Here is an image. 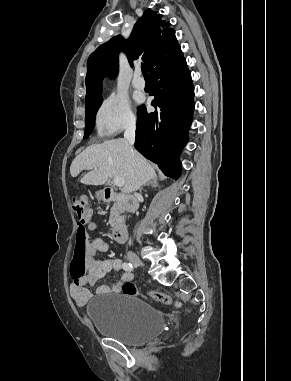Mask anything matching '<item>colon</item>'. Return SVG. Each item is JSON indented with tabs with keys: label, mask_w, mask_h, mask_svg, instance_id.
Listing matches in <instances>:
<instances>
[{
	"label": "colon",
	"mask_w": 291,
	"mask_h": 381,
	"mask_svg": "<svg viewBox=\"0 0 291 381\" xmlns=\"http://www.w3.org/2000/svg\"><path fill=\"white\" fill-rule=\"evenodd\" d=\"M73 210L78 220V230L76 236V245L74 253V265L79 271H84L85 258L87 251V227L94 228L92 214L89 202L86 198H76L73 202ZM121 291L126 295L141 296L145 299L160 302L165 305H174L181 308L182 304L174 300L171 296L163 293H150L144 295L139 292L137 287L132 282H126L122 285Z\"/></svg>",
	"instance_id": "5ec220e1"
}]
</instances>
